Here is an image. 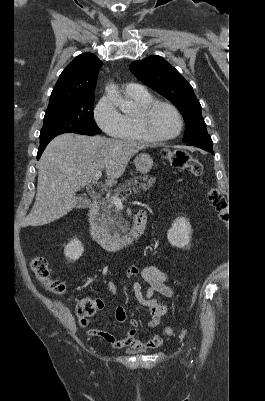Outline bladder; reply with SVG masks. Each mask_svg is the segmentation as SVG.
<instances>
[{"label": "bladder", "instance_id": "bladder-1", "mask_svg": "<svg viewBox=\"0 0 265 401\" xmlns=\"http://www.w3.org/2000/svg\"><path fill=\"white\" fill-rule=\"evenodd\" d=\"M140 350H135V352H139Z\"/></svg>", "mask_w": 265, "mask_h": 401}]
</instances>
